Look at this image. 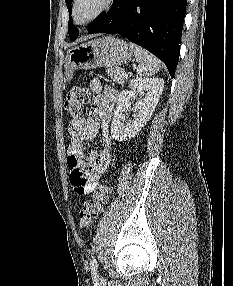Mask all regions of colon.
<instances>
[{"mask_svg": "<svg viewBox=\"0 0 233 286\" xmlns=\"http://www.w3.org/2000/svg\"><path fill=\"white\" fill-rule=\"evenodd\" d=\"M89 91L85 87L75 86L68 91L65 100V109L73 116L79 117L89 101ZM110 183L99 187L94 196L83 202L79 208V224L87 229L103 212L110 195Z\"/></svg>", "mask_w": 233, "mask_h": 286, "instance_id": "obj_1", "label": "colon"}]
</instances>
